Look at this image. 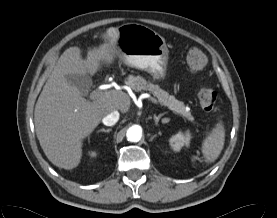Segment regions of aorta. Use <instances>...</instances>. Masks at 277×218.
I'll list each match as a JSON object with an SVG mask.
<instances>
[{
	"mask_svg": "<svg viewBox=\"0 0 277 218\" xmlns=\"http://www.w3.org/2000/svg\"><path fill=\"white\" fill-rule=\"evenodd\" d=\"M126 136L128 141L138 142L142 137V128L139 125H133L127 130Z\"/></svg>",
	"mask_w": 277,
	"mask_h": 218,
	"instance_id": "1",
	"label": "aorta"
}]
</instances>
